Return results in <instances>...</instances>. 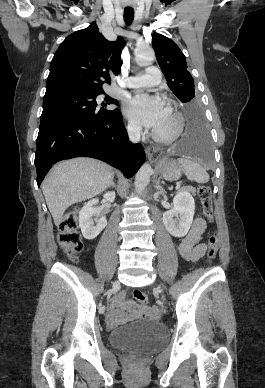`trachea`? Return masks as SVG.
<instances>
[{"mask_svg":"<svg viewBox=\"0 0 265 388\" xmlns=\"http://www.w3.org/2000/svg\"><path fill=\"white\" fill-rule=\"evenodd\" d=\"M134 19V10H124V21L126 25H130Z\"/></svg>","mask_w":265,"mask_h":388,"instance_id":"obj_1","label":"trachea"}]
</instances>
